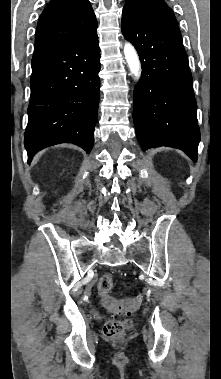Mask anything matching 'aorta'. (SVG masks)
I'll list each match as a JSON object with an SVG mask.
<instances>
[{"label": "aorta", "mask_w": 221, "mask_h": 379, "mask_svg": "<svg viewBox=\"0 0 221 379\" xmlns=\"http://www.w3.org/2000/svg\"><path fill=\"white\" fill-rule=\"evenodd\" d=\"M124 55L130 72L136 79H139L141 74V65L136 50L130 43H125Z\"/></svg>", "instance_id": "obj_1"}]
</instances>
